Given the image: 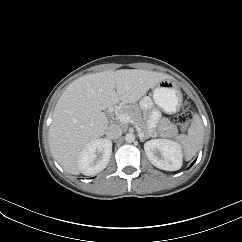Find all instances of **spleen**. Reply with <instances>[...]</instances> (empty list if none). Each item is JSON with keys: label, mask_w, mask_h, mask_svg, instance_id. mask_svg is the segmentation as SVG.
<instances>
[{"label": "spleen", "mask_w": 242, "mask_h": 242, "mask_svg": "<svg viewBox=\"0 0 242 242\" xmlns=\"http://www.w3.org/2000/svg\"><path fill=\"white\" fill-rule=\"evenodd\" d=\"M203 137L204 126L202 120L195 114L187 135H179L175 137L184 149L186 160H191L199 151Z\"/></svg>", "instance_id": "3e777b00"}]
</instances>
